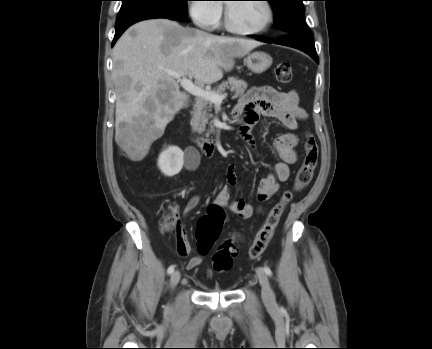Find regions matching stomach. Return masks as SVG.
<instances>
[{
    "label": "stomach",
    "instance_id": "obj_1",
    "mask_svg": "<svg viewBox=\"0 0 432 349\" xmlns=\"http://www.w3.org/2000/svg\"><path fill=\"white\" fill-rule=\"evenodd\" d=\"M245 62L250 71L261 74L272 65V57L268 53L256 51L248 54Z\"/></svg>",
    "mask_w": 432,
    "mask_h": 349
}]
</instances>
